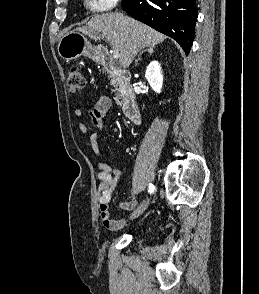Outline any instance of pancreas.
I'll return each instance as SVG.
<instances>
[{
    "label": "pancreas",
    "mask_w": 259,
    "mask_h": 294,
    "mask_svg": "<svg viewBox=\"0 0 259 294\" xmlns=\"http://www.w3.org/2000/svg\"><path fill=\"white\" fill-rule=\"evenodd\" d=\"M114 92L116 93V97H115V99H116V101L119 103V99H120V94H119V89L117 88V85H115V90H114Z\"/></svg>",
    "instance_id": "obj_1"
}]
</instances>
